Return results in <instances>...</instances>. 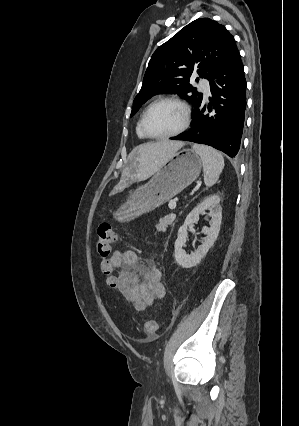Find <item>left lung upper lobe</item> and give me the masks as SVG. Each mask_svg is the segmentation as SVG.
Wrapping results in <instances>:
<instances>
[{
    "mask_svg": "<svg viewBox=\"0 0 299 426\" xmlns=\"http://www.w3.org/2000/svg\"><path fill=\"white\" fill-rule=\"evenodd\" d=\"M235 50L234 37L223 25L209 18L194 20L153 53L131 116L152 96L163 93L178 94L196 111L203 95L189 84L190 78L198 74L211 81Z\"/></svg>",
    "mask_w": 299,
    "mask_h": 426,
    "instance_id": "1",
    "label": "left lung upper lobe"
}]
</instances>
